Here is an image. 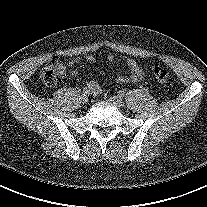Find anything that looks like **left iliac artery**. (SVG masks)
Listing matches in <instances>:
<instances>
[{"instance_id":"44dca946","label":"left iliac artery","mask_w":207,"mask_h":207,"mask_svg":"<svg viewBox=\"0 0 207 207\" xmlns=\"http://www.w3.org/2000/svg\"><path fill=\"white\" fill-rule=\"evenodd\" d=\"M124 95H125L124 91H122V90L118 91V96L119 97H124Z\"/></svg>"}]
</instances>
